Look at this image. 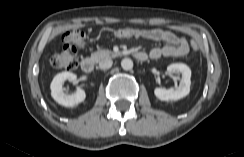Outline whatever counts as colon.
I'll use <instances>...</instances> for the list:
<instances>
[{
  "label": "colon",
  "mask_w": 244,
  "mask_h": 157,
  "mask_svg": "<svg viewBox=\"0 0 244 157\" xmlns=\"http://www.w3.org/2000/svg\"><path fill=\"white\" fill-rule=\"evenodd\" d=\"M140 29L121 28L115 31V36L119 39L135 38ZM64 46L61 50L52 53L50 65L55 69L72 70L78 65V50L86 45V34L82 30L76 29L68 31L63 35ZM193 50L198 49L195 41H191Z\"/></svg>",
  "instance_id": "obj_1"
}]
</instances>
